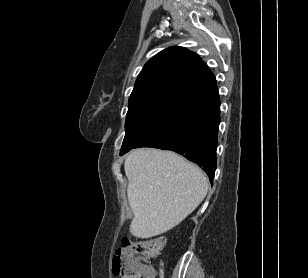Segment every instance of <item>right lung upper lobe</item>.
Here are the masks:
<instances>
[{
  "label": "right lung upper lobe",
  "instance_id": "obj_1",
  "mask_svg": "<svg viewBox=\"0 0 308 278\" xmlns=\"http://www.w3.org/2000/svg\"><path fill=\"white\" fill-rule=\"evenodd\" d=\"M218 91L216 79L201 58L183 47H170L140 72L126 118L151 112L180 113Z\"/></svg>",
  "mask_w": 308,
  "mask_h": 278
}]
</instances>
